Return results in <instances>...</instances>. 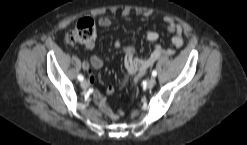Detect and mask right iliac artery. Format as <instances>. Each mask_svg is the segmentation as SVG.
<instances>
[{"instance_id":"right-iliac-artery-1","label":"right iliac artery","mask_w":247,"mask_h":145,"mask_svg":"<svg viewBox=\"0 0 247 145\" xmlns=\"http://www.w3.org/2000/svg\"><path fill=\"white\" fill-rule=\"evenodd\" d=\"M77 78H78L79 81H83V80H84V77H83L81 74H79V75L77 76Z\"/></svg>"}]
</instances>
